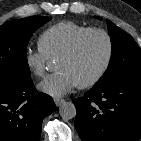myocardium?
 I'll use <instances>...</instances> for the list:
<instances>
[{"mask_svg":"<svg viewBox=\"0 0 141 141\" xmlns=\"http://www.w3.org/2000/svg\"><path fill=\"white\" fill-rule=\"evenodd\" d=\"M91 34H101L106 39L107 55H106V58H105L103 65L98 70V72L90 79H88L84 82L78 83L77 86L79 88H89V87L96 85L107 73V71L111 65L112 59H113L114 43H113V39H112L110 33L108 31H106L105 29L96 28V27L89 28V29L85 30L84 32H82L80 35H78L74 39V41L71 43V45L59 56V59L69 58V57L73 56L80 48L83 41Z\"/></svg>","mask_w":141,"mask_h":141,"instance_id":"obj_1","label":"myocardium"}]
</instances>
